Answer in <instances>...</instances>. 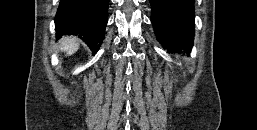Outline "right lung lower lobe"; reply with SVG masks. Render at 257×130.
Wrapping results in <instances>:
<instances>
[{
	"label": "right lung lower lobe",
	"instance_id": "98d812e1",
	"mask_svg": "<svg viewBox=\"0 0 257 130\" xmlns=\"http://www.w3.org/2000/svg\"><path fill=\"white\" fill-rule=\"evenodd\" d=\"M109 0H61L56 17L57 35H75L97 52L108 21Z\"/></svg>",
	"mask_w": 257,
	"mask_h": 130
}]
</instances>
